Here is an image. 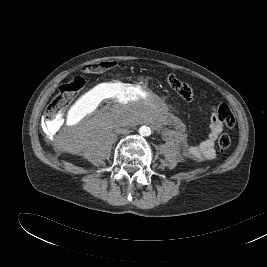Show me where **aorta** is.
Masks as SVG:
<instances>
[{
	"instance_id": "obj_1",
	"label": "aorta",
	"mask_w": 267,
	"mask_h": 267,
	"mask_svg": "<svg viewBox=\"0 0 267 267\" xmlns=\"http://www.w3.org/2000/svg\"><path fill=\"white\" fill-rule=\"evenodd\" d=\"M139 133L141 136H150L151 135V129L147 126H142L139 129Z\"/></svg>"
}]
</instances>
